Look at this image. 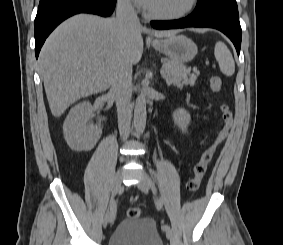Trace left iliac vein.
Here are the masks:
<instances>
[{"mask_svg":"<svg viewBox=\"0 0 283 245\" xmlns=\"http://www.w3.org/2000/svg\"><path fill=\"white\" fill-rule=\"evenodd\" d=\"M138 188L145 194H147L149 190L152 188V182L148 174L144 173L142 175L141 181L138 183ZM165 232H166V237L170 239L172 236L171 231L169 230Z\"/></svg>","mask_w":283,"mask_h":245,"instance_id":"obj_1","label":"left iliac vein"}]
</instances>
